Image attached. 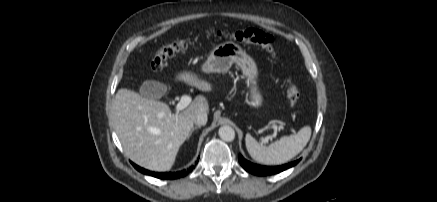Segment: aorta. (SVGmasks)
Wrapping results in <instances>:
<instances>
[{
  "mask_svg": "<svg viewBox=\"0 0 437 202\" xmlns=\"http://www.w3.org/2000/svg\"><path fill=\"white\" fill-rule=\"evenodd\" d=\"M218 134L223 141L231 142L235 138V131L231 126L224 125L219 128Z\"/></svg>",
  "mask_w": 437,
  "mask_h": 202,
  "instance_id": "762f6f07",
  "label": "aorta"
}]
</instances>
